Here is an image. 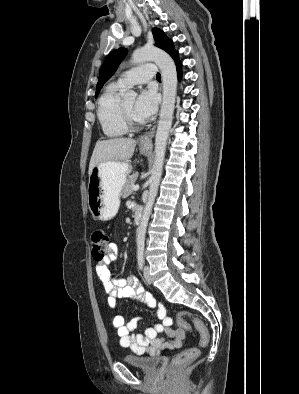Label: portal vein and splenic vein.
Returning <instances> with one entry per match:
<instances>
[{"label": "portal vein and splenic vein", "mask_w": 299, "mask_h": 394, "mask_svg": "<svg viewBox=\"0 0 299 394\" xmlns=\"http://www.w3.org/2000/svg\"><path fill=\"white\" fill-rule=\"evenodd\" d=\"M132 189H133L134 191H137V190L139 189V185H138V184H137V185H134Z\"/></svg>", "instance_id": "obj_1"}]
</instances>
